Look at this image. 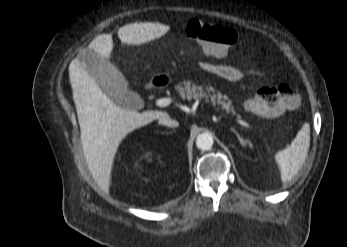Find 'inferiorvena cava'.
<instances>
[{
  "instance_id": "602c4592",
  "label": "inferior vena cava",
  "mask_w": 347,
  "mask_h": 247,
  "mask_svg": "<svg viewBox=\"0 0 347 247\" xmlns=\"http://www.w3.org/2000/svg\"><path fill=\"white\" fill-rule=\"evenodd\" d=\"M158 123L160 125H165L171 128H176L179 126V123L176 120H173L170 118V116L166 113H164L159 119Z\"/></svg>"
}]
</instances>
